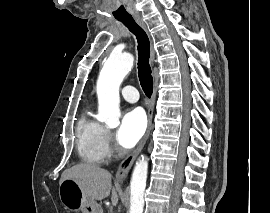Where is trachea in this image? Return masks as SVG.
<instances>
[{
  "label": "trachea",
  "instance_id": "trachea-1",
  "mask_svg": "<svg viewBox=\"0 0 270 213\" xmlns=\"http://www.w3.org/2000/svg\"><path fill=\"white\" fill-rule=\"evenodd\" d=\"M137 38L138 42V77L141 87L147 97L153 92V77L151 75L150 42L146 32L133 18L120 20Z\"/></svg>",
  "mask_w": 270,
  "mask_h": 213
}]
</instances>
